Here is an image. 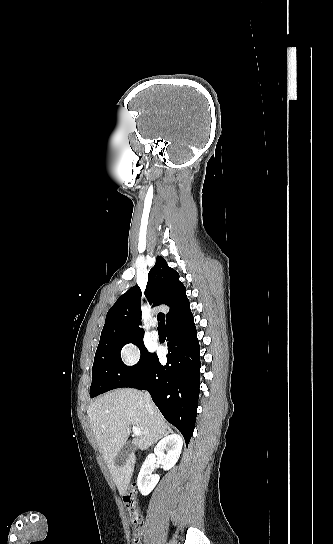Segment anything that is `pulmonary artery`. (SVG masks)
<instances>
[{"instance_id": "e3ab8cb5", "label": "pulmonary artery", "mask_w": 333, "mask_h": 544, "mask_svg": "<svg viewBox=\"0 0 333 544\" xmlns=\"http://www.w3.org/2000/svg\"><path fill=\"white\" fill-rule=\"evenodd\" d=\"M151 325H152V327H156V326H157V321H156V320H152V321H151ZM151 338H152L153 340H157V339L159 338V333H158V331H157L156 329H153V330L151 331Z\"/></svg>"}]
</instances>
